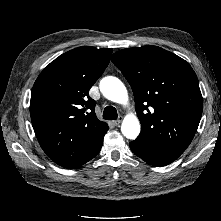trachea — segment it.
Instances as JSON below:
<instances>
[{
    "instance_id": "trachea-1",
    "label": "trachea",
    "mask_w": 221,
    "mask_h": 221,
    "mask_svg": "<svg viewBox=\"0 0 221 221\" xmlns=\"http://www.w3.org/2000/svg\"><path fill=\"white\" fill-rule=\"evenodd\" d=\"M118 114L116 109L113 106H107L103 111V118L106 120H115L117 119Z\"/></svg>"
}]
</instances>
